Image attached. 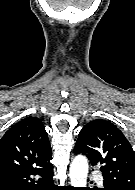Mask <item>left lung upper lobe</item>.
<instances>
[{
	"label": "left lung upper lobe",
	"instance_id": "5c2ea615",
	"mask_svg": "<svg viewBox=\"0 0 135 190\" xmlns=\"http://www.w3.org/2000/svg\"><path fill=\"white\" fill-rule=\"evenodd\" d=\"M74 151L85 154L90 163L100 165L104 185L112 190H135V153L111 122L94 120L79 133Z\"/></svg>",
	"mask_w": 135,
	"mask_h": 190
}]
</instances>
